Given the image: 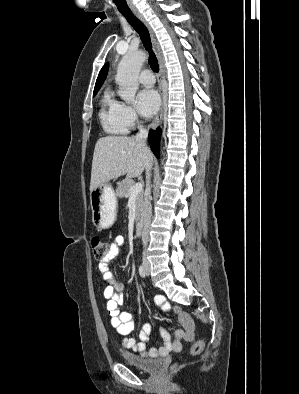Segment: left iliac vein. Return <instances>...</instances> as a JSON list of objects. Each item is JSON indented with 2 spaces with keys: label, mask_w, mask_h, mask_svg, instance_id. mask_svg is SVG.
Listing matches in <instances>:
<instances>
[{
  "label": "left iliac vein",
  "mask_w": 299,
  "mask_h": 394,
  "mask_svg": "<svg viewBox=\"0 0 299 394\" xmlns=\"http://www.w3.org/2000/svg\"><path fill=\"white\" fill-rule=\"evenodd\" d=\"M146 273L149 274V267H148V264H146Z\"/></svg>",
  "instance_id": "left-iliac-vein-1"
}]
</instances>
